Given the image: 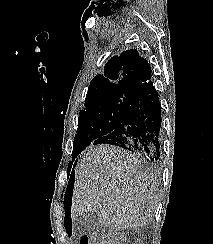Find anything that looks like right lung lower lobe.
I'll return each mask as SVG.
<instances>
[{"label":"right lung lower lobe","instance_id":"obj_1","mask_svg":"<svg viewBox=\"0 0 213 244\" xmlns=\"http://www.w3.org/2000/svg\"><path fill=\"white\" fill-rule=\"evenodd\" d=\"M161 122L158 93L150 82L133 99L116 129L96 139L93 144L119 146L147 160L156 161L160 158ZM73 183L72 172L66 196L72 191Z\"/></svg>","mask_w":213,"mask_h":244}]
</instances>
